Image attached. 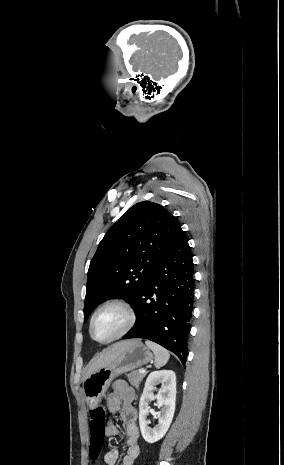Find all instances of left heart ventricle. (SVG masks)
I'll use <instances>...</instances> for the list:
<instances>
[{"instance_id":"left-heart-ventricle-1","label":"left heart ventricle","mask_w":284,"mask_h":465,"mask_svg":"<svg viewBox=\"0 0 284 465\" xmlns=\"http://www.w3.org/2000/svg\"><path fill=\"white\" fill-rule=\"evenodd\" d=\"M126 324V315L117 308H105L94 318L92 336L96 340H108L118 335Z\"/></svg>"}]
</instances>
